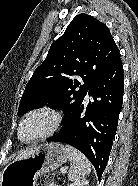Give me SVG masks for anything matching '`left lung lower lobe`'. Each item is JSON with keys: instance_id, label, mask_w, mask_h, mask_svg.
Wrapping results in <instances>:
<instances>
[{"instance_id": "left-lung-lower-lobe-1", "label": "left lung lower lobe", "mask_w": 138, "mask_h": 186, "mask_svg": "<svg viewBox=\"0 0 138 186\" xmlns=\"http://www.w3.org/2000/svg\"><path fill=\"white\" fill-rule=\"evenodd\" d=\"M124 90L121 59L107 69L89 88L92 100L77 106L60 132L47 141L67 143L81 151L93 164L98 179L106 168L115 137ZM83 102V101H82Z\"/></svg>"}]
</instances>
